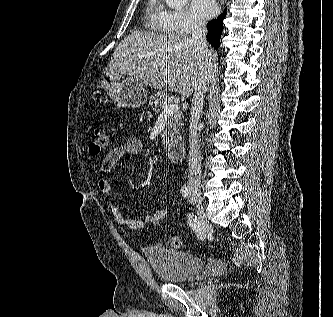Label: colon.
Listing matches in <instances>:
<instances>
[{
    "mask_svg": "<svg viewBox=\"0 0 333 317\" xmlns=\"http://www.w3.org/2000/svg\"><path fill=\"white\" fill-rule=\"evenodd\" d=\"M91 139L89 142V152L92 155H98L104 150H106L111 143V139L109 134L100 127H92L90 129ZM170 207L165 205L163 207H159L153 213L152 225L158 226L162 222L166 221L170 217ZM169 244L172 248L179 249L183 245V241L178 236H173L169 240Z\"/></svg>",
    "mask_w": 333,
    "mask_h": 317,
    "instance_id": "obj_1",
    "label": "colon"
}]
</instances>
